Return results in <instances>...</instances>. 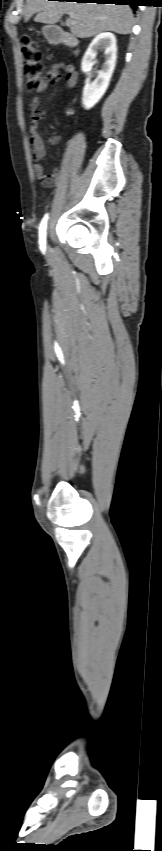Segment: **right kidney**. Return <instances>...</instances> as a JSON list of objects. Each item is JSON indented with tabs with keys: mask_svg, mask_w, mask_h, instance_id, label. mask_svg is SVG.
Here are the masks:
<instances>
[{
	"mask_svg": "<svg viewBox=\"0 0 162 851\" xmlns=\"http://www.w3.org/2000/svg\"><path fill=\"white\" fill-rule=\"evenodd\" d=\"M98 49L104 50L105 62L103 68L98 72L97 78L93 82L87 81L83 88L82 105L86 110L91 109L101 99L109 86L117 58L114 34L110 32L100 33L92 40L81 62L82 72L91 71Z\"/></svg>",
	"mask_w": 162,
	"mask_h": 851,
	"instance_id": "1",
	"label": "right kidney"
}]
</instances>
